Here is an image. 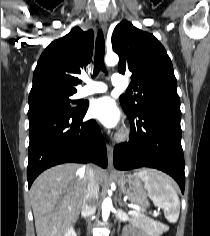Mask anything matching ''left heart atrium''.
I'll return each instance as SVG.
<instances>
[{"label": "left heart atrium", "mask_w": 210, "mask_h": 236, "mask_svg": "<svg viewBox=\"0 0 210 236\" xmlns=\"http://www.w3.org/2000/svg\"><path fill=\"white\" fill-rule=\"evenodd\" d=\"M89 115L108 128H116L121 122L120 111L110 97L95 100L91 105Z\"/></svg>", "instance_id": "39dd6f15"}]
</instances>
